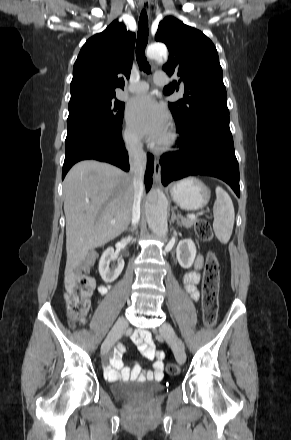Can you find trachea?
Masks as SVG:
<instances>
[{"label": "trachea", "instance_id": "obj_1", "mask_svg": "<svg viewBox=\"0 0 291 440\" xmlns=\"http://www.w3.org/2000/svg\"><path fill=\"white\" fill-rule=\"evenodd\" d=\"M148 42V17L145 10H142L139 18L137 43H136V59L140 70L147 74L151 73V68L145 57V48Z\"/></svg>", "mask_w": 291, "mask_h": 440}]
</instances>
